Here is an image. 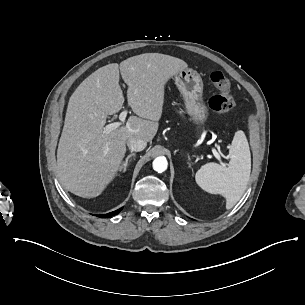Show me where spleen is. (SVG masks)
<instances>
[{
  "label": "spleen",
  "instance_id": "spleen-1",
  "mask_svg": "<svg viewBox=\"0 0 305 305\" xmlns=\"http://www.w3.org/2000/svg\"><path fill=\"white\" fill-rule=\"evenodd\" d=\"M228 156V167L209 163L202 166L195 175L196 184L204 192L225 199L227 210L242 197L250 177V149L243 131L235 132Z\"/></svg>",
  "mask_w": 305,
  "mask_h": 305
}]
</instances>
